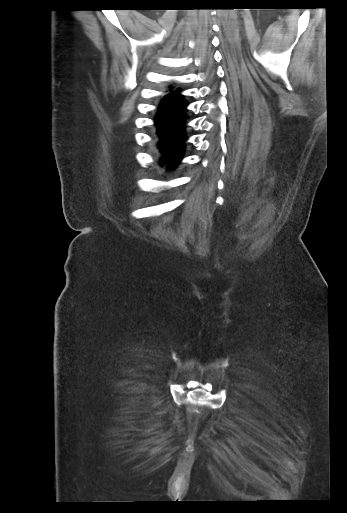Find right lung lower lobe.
<instances>
[{"label":"right lung lower lobe","mask_w":347,"mask_h":513,"mask_svg":"<svg viewBox=\"0 0 347 513\" xmlns=\"http://www.w3.org/2000/svg\"><path fill=\"white\" fill-rule=\"evenodd\" d=\"M187 105L180 91L176 90L164 96L157 112V147L162 155L161 161L168 167L175 166L182 159Z\"/></svg>","instance_id":"98d812e1"}]
</instances>
